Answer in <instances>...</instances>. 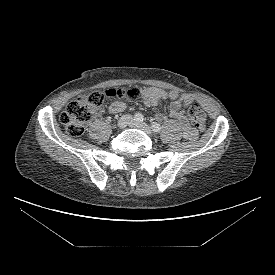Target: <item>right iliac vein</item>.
<instances>
[{"mask_svg":"<svg viewBox=\"0 0 275 275\" xmlns=\"http://www.w3.org/2000/svg\"><path fill=\"white\" fill-rule=\"evenodd\" d=\"M133 122L132 118L128 115L122 116L117 123L118 128L123 129Z\"/></svg>","mask_w":275,"mask_h":275,"instance_id":"obj_1","label":"right iliac vein"}]
</instances>
